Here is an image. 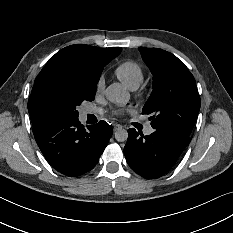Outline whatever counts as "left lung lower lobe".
I'll return each mask as SVG.
<instances>
[{
	"mask_svg": "<svg viewBox=\"0 0 233 233\" xmlns=\"http://www.w3.org/2000/svg\"><path fill=\"white\" fill-rule=\"evenodd\" d=\"M128 135L124 148L127 163L147 179L159 178L167 173L190 142L187 135L160 131L144 136L130 128Z\"/></svg>",
	"mask_w": 233,
	"mask_h": 233,
	"instance_id": "obj_1",
	"label": "left lung lower lobe"
}]
</instances>
